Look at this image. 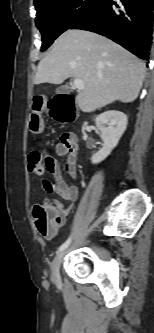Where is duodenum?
I'll return each mask as SVG.
<instances>
[{
	"label": "duodenum",
	"mask_w": 154,
	"mask_h": 333,
	"mask_svg": "<svg viewBox=\"0 0 154 333\" xmlns=\"http://www.w3.org/2000/svg\"><path fill=\"white\" fill-rule=\"evenodd\" d=\"M54 111L57 115L67 121H72L76 117V111L73 98L69 95H61L57 97Z\"/></svg>",
	"instance_id": "410a0bca"
}]
</instances>
